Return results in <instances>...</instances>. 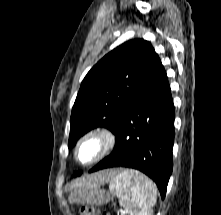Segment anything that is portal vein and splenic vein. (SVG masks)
Returning a JSON list of instances; mask_svg holds the SVG:
<instances>
[{"label": "portal vein and splenic vein", "instance_id": "portal-vein-and-splenic-vein-1", "mask_svg": "<svg viewBox=\"0 0 221 215\" xmlns=\"http://www.w3.org/2000/svg\"><path fill=\"white\" fill-rule=\"evenodd\" d=\"M121 212L124 213V212H125V209H124V210H121Z\"/></svg>", "mask_w": 221, "mask_h": 215}]
</instances>
